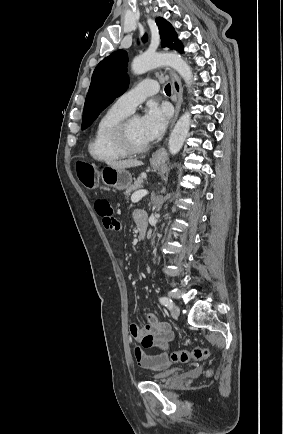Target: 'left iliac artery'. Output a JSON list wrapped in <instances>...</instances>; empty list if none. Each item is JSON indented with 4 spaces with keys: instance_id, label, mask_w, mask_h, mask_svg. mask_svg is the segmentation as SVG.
I'll return each mask as SVG.
<instances>
[{
    "instance_id": "left-iliac-artery-1",
    "label": "left iliac artery",
    "mask_w": 283,
    "mask_h": 434,
    "mask_svg": "<svg viewBox=\"0 0 283 434\" xmlns=\"http://www.w3.org/2000/svg\"><path fill=\"white\" fill-rule=\"evenodd\" d=\"M159 301L162 305L166 306L167 308H172L173 306L172 300L167 297H161Z\"/></svg>"
}]
</instances>
